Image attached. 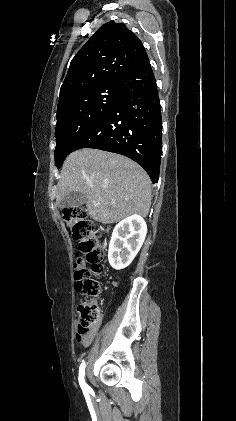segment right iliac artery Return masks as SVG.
Wrapping results in <instances>:
<instances>
[{
  "label": "right iliac artery",
  "mask_w": 236,
  "mask_h": 421,
  "mask_svg": "<svg viewBox=\"0 0 236 421\" xmlns=\"http://www.w3.org/2000/svg\"><path fill=\"white\" fill-rule=\"evenodd\" d=\"M85 367H86V365H85V362L83 361L81 363L80 367H79V378H78L80 387H81V389L84 393L88 392L89 389H90V387L86 384V382L84 380Z\"/></svg>",
  "instance_id": "82829eb1"
}]
</instances>
